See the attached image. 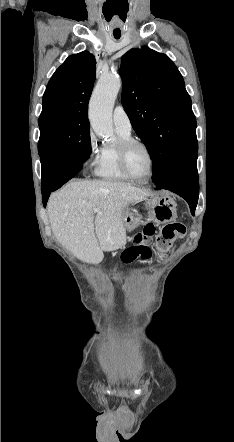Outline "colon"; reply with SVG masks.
<instances>
[{
	"instance_id": "5ec220e1",
	"label": "colon",
	"mask_w": 234,
	"mask_h": 442,
	"mask_svg": "<svg viewBox=\"0 0 234 442\" xmlns=\"http://www.w3.org/2000/svg\"><path fill=\"white\" fill-rule=\"evenodd\" d=\"M186 227L180 222L165 225L158 233L153 224H147L141 232L134 237V244L126 248L121 259L124 263H130L137 258L149 259L152 255L151 242L155 236V246L161 252L167 251L173 241L184 236Z\"/></svg>"
}]
</instances>
